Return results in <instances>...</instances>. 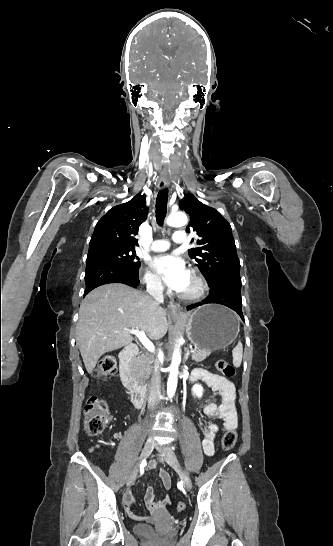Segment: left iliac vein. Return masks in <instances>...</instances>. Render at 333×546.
<instances>
[{"instance_id":"left-iliac-vein-1","label":"left iliac vein","mask_w":333,"mask_h":546,"mask_svg":"<svg viewBox=\"0 0 333 546\" xmlns=\"http://www.w3.org/2000/svg\"><path fill=\"white\" fill-rule=\"evenodd\" d=\"M161 450H162V453L165 456V459H166L167 463L179 474L180 478L183 481L184 487L187 490H191L192 489V481H191L190 477L188 476V474L180 466V463H179L176 455L174 454L173 450L171 449V447L166 446V447L162 448Z\"/></svg>"}]
</instances>
